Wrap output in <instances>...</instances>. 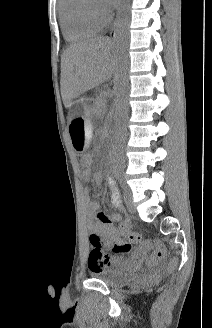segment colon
Wrapping results in <instances>:
<instances>
[{"mask_svg": "<svg viewBox=\"0 0 212 328\" xmlns=\"http://www.w3.org/2000/svg\"><path fill=\"white\" fill-rule=\"evenodd\" d=\"M78 161L80 163V170H92L93 158L90 153H81ZM129 242L121 241L114 245L113 251L116 254H128L131 251H147L150 248H154L153 253L147 258L148 265H155L158 262L162 261L166 256V248L163 243L160 241H151L144 239L140 233L131 232L128 235ZM90 244L92 250L89 254L88 264L93 265L97 264L99 267H109L111 265L110 259L103 254L101 250V241L100 237L93 233L90 235ZM178 266L177 259L173 258L169 260L166 265L168 271L176 270Z\"/></svg>", "mask_w": 212, "mask_h": 328, "instance_id": "colon-1", "label": "colon"}]
</instances>
